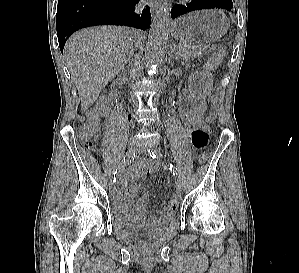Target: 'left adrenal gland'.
Listing matches in <instances>:
<instances>
[{
    "label": "left adrenal gland",
    "instance_id": "obj_1",
    "mask_svg": "<svg viewBox=\"0 0 299 273\" xmlns=\"http://www.w3.org/2000/svg\"><path fill=\"white\" fill-rule=\"evenodd\" d=\"M175 56H174V48L171 47V50H170V53H169V57H168V61H169V64L171 63V60L174 59Z\"/></svg>",
    "mask_w": 299,
    "mask_h": 273
}]
</instances>
